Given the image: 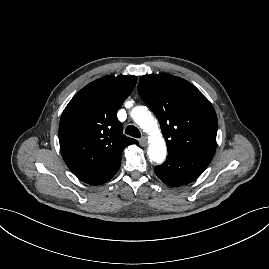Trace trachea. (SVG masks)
I'll return each instance as SVG.
<instances>
[{"instance_id":"1","label":"trachea","mask_w":269,"mask_h":269,"mask_svg":"<svg viewBox=\"0 0 269 269\" xmlns=\"http://www.w3.org/2000/svg\"><path fill=\"white\" fill-rule=\"evenodd\" d=\"M125 133L129 136H132L134 138H140L141 137V133L139 131V129L133 125L128 126L125 129Z\"/></svg>"}]
</instances>
